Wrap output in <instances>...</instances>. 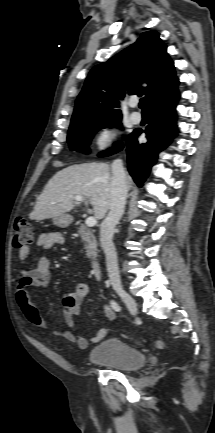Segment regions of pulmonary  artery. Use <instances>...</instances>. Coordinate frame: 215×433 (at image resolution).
Listing matches in <instances>:
<instances>
[{
  "instance_id": "1",
  "label": "pulmonary artery",
  "mask_w": 215,
  "mask_h": 433,
  "mask_svg": "<svg viewBox=\"0 0 215 433\" xmlns=\"http://www.w3.org/2000/svg\"><path fill=\"white\" fill-rule=\"evenodd\" d=\"M129 105H130L131 108H135L136 107V102L135 101H131ZM130 118H131V121L133 123L137 124V123H139L141 121L142 116H141V114L139 112L134 111V112L131 113Z\"/></svg>"
}]
</instances>
